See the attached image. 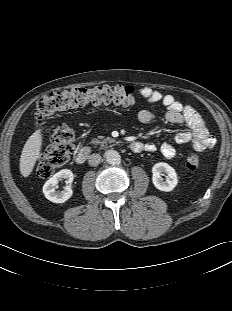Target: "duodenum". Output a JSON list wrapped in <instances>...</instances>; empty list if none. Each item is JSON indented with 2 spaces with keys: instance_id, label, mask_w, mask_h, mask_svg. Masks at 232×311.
Returning a JSON list of instances; mask_svg holds the SVG:
<instances>
[{
  "instance_id": "obj_1",
  "label": "duodenum",
  "mask_w": 232,
  "mask_h": 311,
  "mask_svg": "<svg viewBox=\"0 0 232 311\" xmlns=\"http://www.w3.org/2000/svg\"><path fill=\"white\" fill-rule=\"evenodd\" d=\"M130 148L133 152H141L144 149V145L140 142H133L130 144ZM91 154V148L90 147H83L80 149V151L77 153L75 157V161L78 164H83L86 162L88 157Z\"/></svg>"
}]
</instances>
